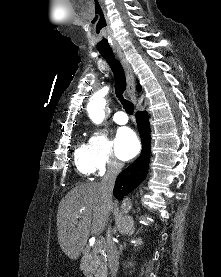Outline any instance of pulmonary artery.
Here are the masks:
<instances>
[{
  "mask_svg": "<svg viewBox=\"0 0 221 277\" xmlns=\"http://www.w3.org/2000/svg\"><path fill=\"white\" fill-rule=\"evenodd\" d=\"M113 120L115 123H117L119 125H124L128 122V117L124 111H117L113 115Z\"/></svg>",
  "mask_w": 221,
  "mask_h": 277,
  "instance_id": "pulmonary-artery-1",
  "label": "pulmonary artery"
}]
</instances>
